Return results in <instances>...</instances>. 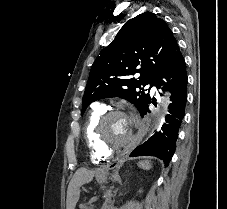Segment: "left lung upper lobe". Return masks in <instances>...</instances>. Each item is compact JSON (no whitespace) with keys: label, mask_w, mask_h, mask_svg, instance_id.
<instances>
[{"label":"left lung upper lobe","mask_w":227,"mask_h":209,"mask_svg":"<svg viewBox=\"0 0 227 209\" xmlns=\"http://www.w3.org/2000/svg\"><path fill=\"white\" fill-rule=\"evenodd\" d=\"M179 52L172 31L156 14L145 12L130 19L93 63L81 114L91 102L116 96L133 103L141 113L151 100L141 86L157 87ZM135 73H140L139 79L128 78Z\"/></svg>","instance_id":"left-lung-upper-lobe-1"}]
</instances>
